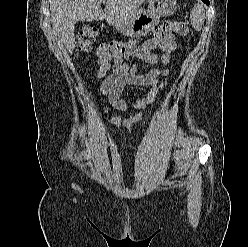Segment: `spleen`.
<instances>
[{
	"label": "spleen",
	"instance_id": "spleen-1",
	"mask_svg": "<svg viewBox=\"0 0 248 247\" xmlns=\"http://www.w3.org/2000/svg\"><path fill=\"white\" fill-rule=\"evenodd\" d=\"M190 20L192 27L196 31H200L205 21V10L201 4L198 3L194 5L190 14Z\"/></svg>",
	"mask_w": 248,
	"mask_h": 247
}]
</instances>
